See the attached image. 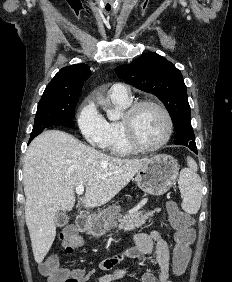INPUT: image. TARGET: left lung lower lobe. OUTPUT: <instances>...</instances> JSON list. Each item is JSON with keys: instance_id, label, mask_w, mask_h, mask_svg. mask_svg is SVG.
Here are the masks:
<instances>
[{"instance_id": "left-lung-lower-lobe-1", "label": "left lung lower lobe", "mask_w": 232, "mask_h": 282, "mask_svg": "<svg viewBox=\"0 0 232 282\" xmlns=\"http://www.w3.org/2000/svg\"><path fill=\"white\" fill-rule=\"evenodd\" d=\"M175 144L182 145V144H181L180 142H178L177 140H176ZM189 148H190L193 152H195L196 154L198 153V152H197V147H196V145H189Z\"/></svg>"}]
</instances>
